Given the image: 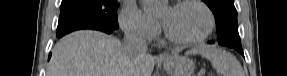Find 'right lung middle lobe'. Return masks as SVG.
<instances>
[{"label": "right lung middle lobe", "instance_id": "dd1d6c3e", "mask_svg": "<svg viewBox=\"0 0 287 76\" xmlns=\"http://www.w3.org/2000/svg\"><path fill=\"white\" fill-rule=\"evenodd\" d=\"M118 6L117 0H62L57 36L91 27L117 29Z\"/></svg>", "mask_w": 287, "mask_h": 76}]
</instances>
